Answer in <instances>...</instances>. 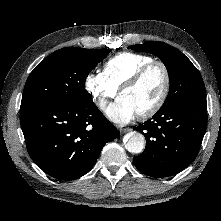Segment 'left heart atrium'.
I'll return each instance as SVG.
<instances>
[{"instance_id":"1","label":"left heart atrium","mask_w":221,"mask_h":221,"mask_svg":"<svg viewBox=\"0 0 221 221\" xmlns=\"http://www.w3.org/2000/svg\"><path fill=\"white\" fill-rule=\"evenodd\" d=\"M109 119L118 123L126 124L137 115L130 102L123 96H119L106 110Z\"/></svg>"}]
</instances>
